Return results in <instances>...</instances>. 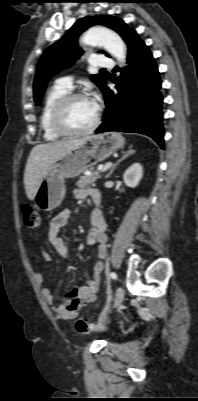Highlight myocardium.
I'll list each match as a JSON object with an SVG mask.
<instances>
[{
    "instance_id": "obj_1",
    "label": "myocardium",
    "mask_w": 198,
    "mask_h": 401,
    "mask_svg": "<svg viewBox=\"0 0 198 401\" xmlns=\"http://www.w3.org/2000/svg\"><path fill=\"white\" fill-rule=\"evenodd\" d=\"M88 98L85 93L82 92H75V93H68L63 96L55 105L52 116H51V123L53 128L56 132H58L62 136L66 137H77L85 134H89L93 132L100 124L101 121V108L97 106V113L93 123L81 130H74L71 129L66 121H65V114L67 111L68 106L77 99Z\"/></svg>"
}]
</instances>
